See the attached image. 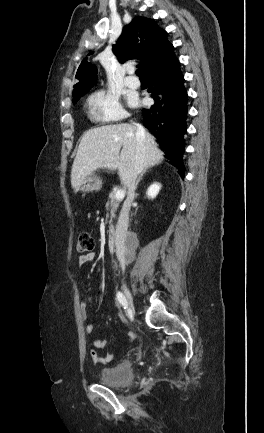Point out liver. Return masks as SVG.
Instances as JSON below:
<instances>
[{
  "label": "liver",
  "instance_id": "obj_1",
  "mask_svg": "<svg viewBox=\"0 0 264 433\" xmlns=\"http://www.w3.org/2000/svg\"><path fill=\"white\" fill-rule=\"evenodd\" d=\"M136 126L127 123L106 125L88 130L82 136L71 171L74 192L86 177L99 169L118 170L121 182L128 187L137 155ZM144 170L163 160L155 138L145 131L143 148Z\"/></svg>",
  "mask_w": 264,
  "mask_h": 433
}]
</instances>
